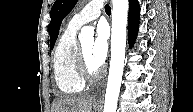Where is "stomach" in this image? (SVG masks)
I'll return each instance as SVG.
<instances>
[{"label":"stomach","mask_w":193,"mask_h":112,"mask_svg":"<svg viewBox=\"0 0 193 112\" xmlns=\"http://www.w3.org/2000/svg\"><path fill=\"white\" fill-rule=\"evenodd\" d=\"M94 107H95L94 111H96L98 109V105L96 103H94Z\"/></svg>","instance_id":"0dacf381"}]
</instances>
